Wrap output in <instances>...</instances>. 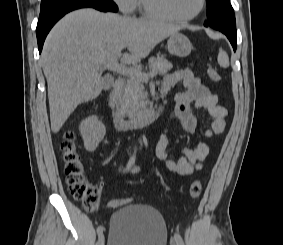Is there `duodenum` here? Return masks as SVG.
<instances>
[{
    "label": "duodenum",
    "mask_w": 283,
    "mask_h": 245,
    "mask_svg": "<svg viewBox=\"0 0 283 245\" xmlns=\"http://www.w3.org/2000/svg\"><path fill=\"white\" fill-rule=\"evenodd\" d=\"M124 82L118 79L109 95V106L111 108L112 122L118 130H129L143 127L153 122L161 112L163 105L150 109L144 113L133 117H125L121 111V95L123 91Z\"/></svg>",
    "instance_id": "1"
}]
</instances>
